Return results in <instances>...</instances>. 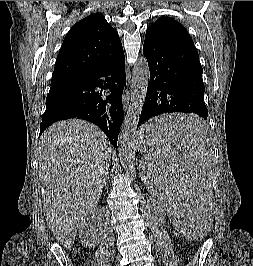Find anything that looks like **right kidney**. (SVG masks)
<instances>
[{
    "mask_svg": "<svg viewBox=\"0 0 253 266\" xmlns=\"http://www.w3.org/2000/svg\"><path fill=\"white\" fill-rule=\"evenodd\" d=\"M94 218L95 214L82 222L78 229L81 243L87 247H94L98 244L102 235L100 229L98 230L95 226L93 227L92 222Z\"/></svg>",
    "mask_w": 253,
    "mask_h": 266,
    "instance_id": "obj_1",
    "label": "right kidney"
}]
</instances>
